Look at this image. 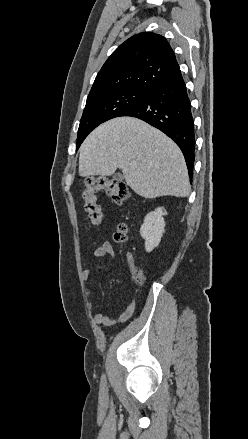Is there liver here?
Returning a JSON list of instances; mask_svg holds the SVG:
<instances>
[{
    "mask_svg": "<svg viewBox=\"0 0 248 439\" xmlns=\"http://www.w3.org/2000/svg\"><path fill=\"white\" fill-rule=\"evenodd\" d=\"M117 168L141 197L190 194L188 170L179 147L137 118L117 117L99 125L80 147L81 177L110 176Z\"/></svg>",
    "mask_w": 248,
    "mask_h": 439,
    "instance_id": "6515ba94",
    "label": "liver"
}]
</instances>
